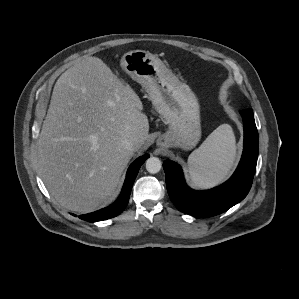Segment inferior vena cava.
I'll return each mask as SVG.
<instances>
[{"instance_id":"obj_1","label":"inferior vena cava","mask_w":299,"mask_h":299,"mask_svg":"<svg viewBox=\"0 0 299 299\" xmlns=\"http://www.w3.org/2000/svg\"><path fill=\"white\" fill-rule=\"evenodd\" d=\"M136 146L135 139H125L121 142V147L127 151H134Z\"/></svg>"}]
</instances>
